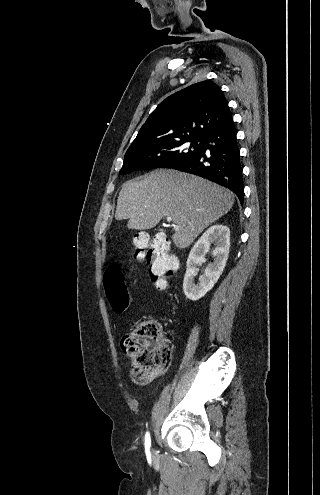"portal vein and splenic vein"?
Masks as SVG:
<instances>
[{"mask_svg": "<svg viewBox=\"0 0 320 495\" xmlns=\"http://www.w3.org/2000/svg\"><path fill=\"white\" fill-rule=\"evenodd\" d=\"M166 219H167L168 222L172 221V217H167Z\"/></svg>", "mask_w": 320, "mask_h": 495, "instance_id": "1", "label": "portal vein and splenic vein"}]
</instances>
